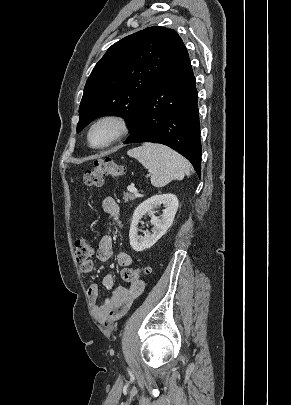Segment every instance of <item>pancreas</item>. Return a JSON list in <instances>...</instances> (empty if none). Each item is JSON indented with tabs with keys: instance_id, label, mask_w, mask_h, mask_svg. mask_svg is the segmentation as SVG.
Listing matches in <instances>:
<instances>
[{
	"instance_id": "1",
	"label": "pancreas",
	"mask_w": 291,
	"mask_h": 405,
	"mask_svg": "<svg viewBox=\"0 0 291 405\" xmlns=\"http://www.w3.org/2000/svg\"><path fill=\"white\" fill-rule=\"evenodd\" d=\"M123 198H124V200L126 201V202H128V201H133V200H135L136 198H137V195H135V194H133V193H124V196H123Z\"/></svg>"
}]
</instances>
